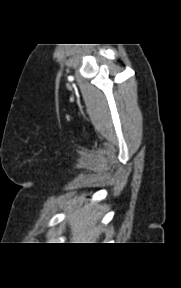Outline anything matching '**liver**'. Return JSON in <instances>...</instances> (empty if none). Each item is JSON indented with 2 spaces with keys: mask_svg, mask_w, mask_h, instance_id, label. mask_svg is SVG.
I'll list each match as a JSON object with an SVG mask.
<instances>
[{
  "mask_svg": "<svg viewBox=\"0 0 181 288\" xmlns=\"http://www.w3.org/2000/svg\"><path fill=\"white\" fill-rule=\"evenodd\" d=\"M97 204H81L69 207L68 223L71 229L73 243H96L102 229L98 222L102 216ZM81 241V242H80Z\"/></svg>",
  "mask_w": 181,
  "mask_h": 288,
  "instance_id": "obj_1",
  "label": "liver"
}]
</instances>
